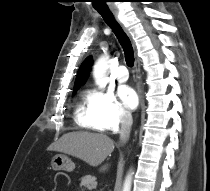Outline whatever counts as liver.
Masks as SVG:
<instances>
[{
    "instance_id": "1",
    "label": "liver",
    "mask_w": 210,
    "mask_h": 191,
    "mask_svg": "<svg viewBox=\"0 0 210 191\" xmlns=\"http://www.w3.org/2000/svg\"><path fill=\"white\" fill-rule=\"evenodd\" d=\"M49 151L62 152L79 158L90 166L100 165L114 150V141L104 134L69 132L48 147ZM108 165L101 167L105 171Z\"/></svg>"
}]
</instances>
